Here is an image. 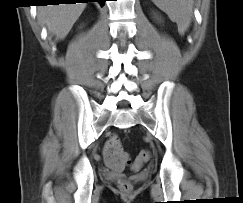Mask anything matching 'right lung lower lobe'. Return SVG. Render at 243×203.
<instances>
[{
  "label": "right lung lower lobe",
  "mask_w": 243,
  "mask_h": 203,
  "mask_svg": "<svg viewBox=\"0 0 243 203\" xmlns=\"http://www.w3.org/2000/svg\"><path fill=\"white\" fill-rule=\"evenodd\" d=\"M44 1L45 0H42L41 2H39V4H36V5H44L45 3H44ZM57 1H59V2H57V3H69V4H71V3H76L77 1H83V3H88V2H99L102 6L104 5V2L106 1V0H57ZM59 5V4H58Z\"/></svg>",
  "instance_id": "right-lung-lower-lobe-1"
}]
</instances>
